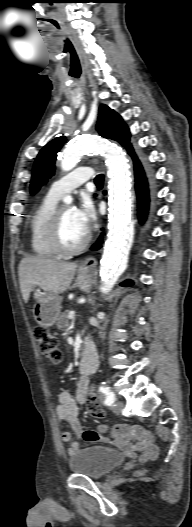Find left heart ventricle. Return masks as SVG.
Returning <instances> with one entry per match:
<instances>
[{"instance_id": "b2bd125f", "label": "left heart ventricle", "mask_w": 192, "mask_h": 527, "mask_svg": "<svg viewBox=\"0 0 192 527\" xmlns=\"http://www.w3.org/2000/svg\"><path fill=\"white\" fill-rule=\"evenodd\" d=\"M87 235V232L77 221L73 208L66 206L62 213V240L67 246L79 244Z\"/></svg>"}]
</instances>
